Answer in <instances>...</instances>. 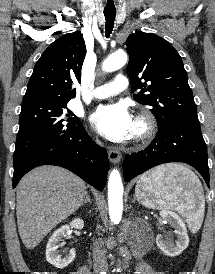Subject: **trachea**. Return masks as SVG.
<instances>
[{"mask_svg":"<svg viewBox=\"0 0 215 274\" xmlns=\"http://www.w3.org/2000/svg\"><path fill=\"white\" fill-rule=\"evenodd\" d=\"M104 15L106 19L105 33L108 38L113 31L116 13H104Z\"/></svg>","mask_w":215,"mask_h":274,"instance_id":"3493384b","label":"trachea"}]
</instances>
